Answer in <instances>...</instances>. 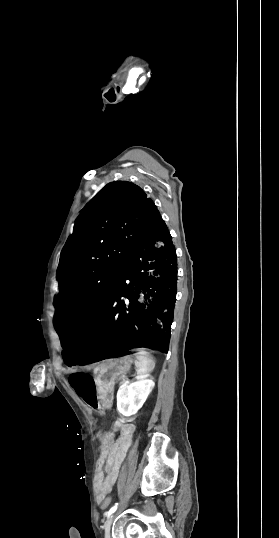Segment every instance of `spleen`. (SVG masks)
I'll return each mask as SVG.
<instances>
[{"label":"spleen","instance_id":"1","mask_svg":"<svg viewBox=\"0 0 279 538\" xmlns=\"http://www.w3.org/2000/svg\"><path fill=\"white\" fill-rule=\"evenodd\" d=\"M136 356V366L138 368V374H141V376H145V374H149V372H152L155 368V362H153L149 352H145L144 348H140V350H137Z\"/></svg>","mask_w":279,"mask_h":538}]
</instances>
